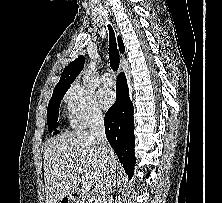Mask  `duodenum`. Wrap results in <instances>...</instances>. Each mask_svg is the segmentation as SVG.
Wrapping results in <instances>:
<instances>
[{
	"instance_id": "410a0bca",
	"label": "duodenum",
	"mask_w": 222,
	"mask_h": 203,
	"mask_svg": "<svg viewBox=\"0 0 222 203\" xmlns=\"http://www.w3.org/2000/svg\"><path fill=\"white\" fill-rule=\"evenodd\" d=\"M70 200L74 203H89V198L86 193L80 189H75L70 193ZM67 203V202H64Z\"/></svg>"
}]
</instances>
